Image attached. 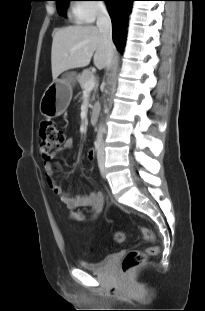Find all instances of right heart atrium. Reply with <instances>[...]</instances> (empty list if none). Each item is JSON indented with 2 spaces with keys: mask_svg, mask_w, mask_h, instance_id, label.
<instances>
[{
  "mask_svg": "<svg viewBox=\"0 0 205 311\" xmlns=\"http://www.w3.org/2000/svg\"><path fill=\"white\" fill-rule=\"evenodd\" d=\"M102 1L94 0H81L77 4L74 11L77 12L80 21L91 23L97 17L107 13V8L100 3Z\"/></svg>",
  "mask_w": 205,
  "mask_h": 311,
  "instance_id": "obj_1",
  "label": "right heart atrium"
}]
</instances>
